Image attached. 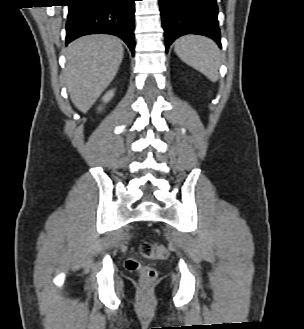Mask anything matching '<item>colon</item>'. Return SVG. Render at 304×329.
<instances>
[{"label": "colon", "instance_id": "1", "mask_svg": "<svg viewBox=\"0 0 304 329\" xmlns=\"http://www.w3.org/2000/svg\"><path fill=\"white\" fill-rule=\"evenodd\" d=\"M142 256L153 260H164L167 257V250L161 244L145 241L140 245ZM125 267L130 271H137L141 283H151L156 279V270L148 265H142L135 257H130L125 261Z\"/></svg>", "mask_w": 304, "mask_h": 329}]
</instances>
